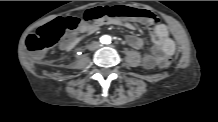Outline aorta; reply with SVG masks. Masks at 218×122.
Listing matches in <instances>:
<instances>
[{"label":"aorta","mask_w":218,"mask_h":122,"mask_svg":"<svg viewBox=\"0 0 218 122\" xmlns=\"http://www.w3.org/2000/svg\"><path fill=\"white\" fill-rule=\"evenodd\" d=\"M102 44H110L111 43V36L104 35L100 38Z\"/></svg>","instance_id":"762f6f07"}]
</instances>
